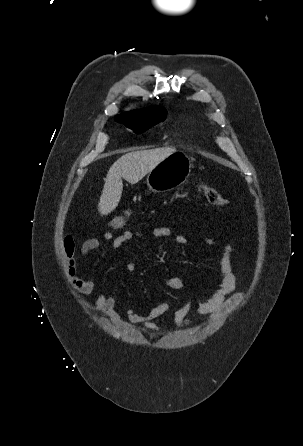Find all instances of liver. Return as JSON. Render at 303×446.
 Wrapping results in <instances>:
<instances>
[{"mask_svg": "<svg viewBox=\"0 0 303 446\" xmlns=\"http://www.w3.org/2000/svg\"><path fill=\"white\" fill-rule=\"evenodd\" d=\"M175 152V148H158L132 151L120 157L110 167L105 178L104 188L98 203L100 214L108 215L118 206L123 190L122 178L131 184H135L156 165Z\"/></svg>", "mask_w": 303, "mask_h": 446, "instance_id": "6515ba94", "label": "liver"}]
</instances>
